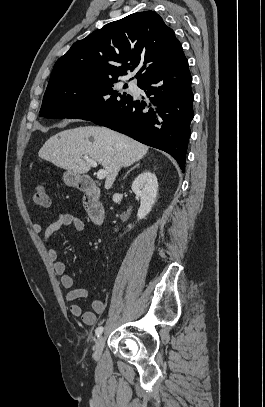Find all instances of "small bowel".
I'll use <instances>...</instances> for the list:
<instances>
[{
	"label": "small bowel",
	"instance_id": "small-bowel-1",
	"mask_svg": "<svg viewBox=\"0 0 265 407\" xmlns=\"http://www.w3.org/2000/svg\"><path fill=\"white\" fill-rule=\"evenodd\" d=\"M62 227H72L77 231H82L85 224L82 219L74 214L61 213L56 220L50 222L45 228L41 224L35 223L33 231L37 234L42 233V243L47 248L48 258L53 264L55 273L60 276L62 286L67 289L65 298L68 302H71V315L81 317L86 325L93 326L97 323V316L105 312V303L101 299H94L92 301V311H82L81 306L75 301L86 298L88 290L83 287H75L74 278L66 272V265L58 259L56 249L48 245L50 237Z\"/></svg>",
	"mask_w": 265,
	"mask_h": 407
}]
</instances>
